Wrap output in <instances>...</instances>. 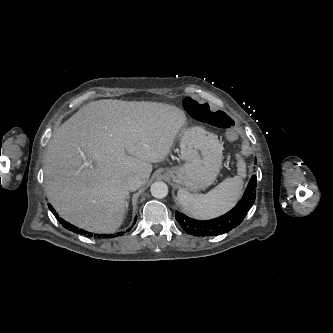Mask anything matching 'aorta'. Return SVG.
Masks as SVG:
<instances>
[{"label": "aorta", "instance_id": "762f6f07", "mask_svg": "<svg viewBox=\"0 0 333 333\" xmlns=\"http://www.w3.org/2000/svg\"><path fill=\"white\" fill-rule=\"evenodd\" d=\"M150 191L153 197L161 199L167 196L168 186L162 181L154 182L151 185Z\"/></svg>", "mask_w": 333, "mask_h": 333}]
</instances>
